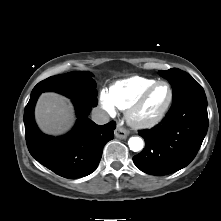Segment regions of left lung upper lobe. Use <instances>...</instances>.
Segmentation results:
<instances>
[{
  "instance_id": "left-lung-upper-lobe-1",
  "label": "left lung upper lobe",
  "mask_w": 221,
  "mask_h": 221,
  "mask_svg": "<svg viewBox=\"0 0 221 221\" xmlns=\"http://www.w3.org/2000/svg\"><path fill=\"white\" fill-rule=\"evenodd\" d=\"M160 75L166 78L172 86L173 98L178 97L184 92L195 88H200V84L194 80L188 73L178 68H172L166 71L161 70Z\"/></svg>"
}]
</instances>
